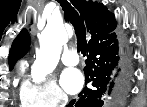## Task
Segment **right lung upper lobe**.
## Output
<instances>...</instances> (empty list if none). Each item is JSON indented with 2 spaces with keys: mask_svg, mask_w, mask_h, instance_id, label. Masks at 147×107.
I'll use <instances>...</instances> for the list:
<instances>
[{
  "mask_svg": "<svg viewBox=\"0 0 147 107\" xmlns=\"http://www.w3.org/2000/svg\"><path fill=\"white\" fill-rule=\"evenodd\" d=\"M71 3L80 12L81 19L86 22L87 31L92 35L88 46L96 45L112 34L116 27L115 17L105 6L85 0H71ZM30 42L27 30H21L11 46L9 67H14L15 63L26 54Z\"/></svg>",
  "mask_w": 147,
  "mask_h": 107,
  "instance_id": "right-lung-upper-lobe-1",
  "label": "right lung upper lobe"
}]
</instances>
